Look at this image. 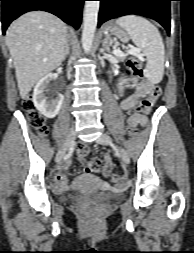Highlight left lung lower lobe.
I'll list each match as a JSON object with an SVG mask.
<instances>
[{
    "label": "left lung lower lobe",
    "mask_w": 194,
    "mask_h": 253,
    "mask_svg": "<svg viewBox=\"0 0 194 253\" xmlns=\"http://www.w3.org/2000/svg\"><path fill=\"white\" fill-rule=\"evenodd\" d=\"M98 27L107 20L128 14L142 15L159 22L170 33L172 0H99Z\"/></svg>",
    "instance_id": "1"
}]
</instances>
